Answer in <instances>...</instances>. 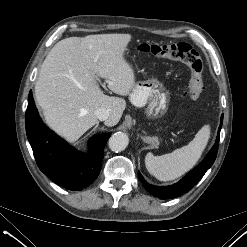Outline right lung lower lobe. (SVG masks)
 Wrapping results in <instances>:
<instances>
[{
    "mask_svg": "<svg viewBox=\"0 0 247 247\" xmlns=\"http://www.w3.org/2000/svg\"><path fill=\"white\" fill-rule=\"evenodd\" d=\"M25 122L37 165L50 180L68 190L79 191L98 177L109 133L92 138L88 154L75 150L44 125L31 91Z\"/></svg>",
    "mask_w": 247,
    "mask_h": 247,
    "instance_id": "obj_1",
    "label": "right lung lower lobe"
}]
</instances>
